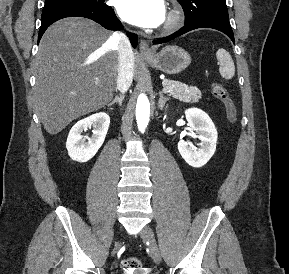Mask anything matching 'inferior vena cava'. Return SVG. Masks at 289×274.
Returning a JSON list of instances; mask_svg holds the SVG:
<instances>
[{"label":"inferior vena cava","mask_w":289,"mask_h":274,"mask_svg":"<svg viewBox=\"0 0 289 274\" xmlns=\"http://www.w3.org/2000/svg\"><path fill=\"white\" fill-rule=\"evenodd\" d=\"M112 42L117 46L119 68L117 76V89L125 93L132 84L134 73V55L129 39L122 33H114Z\"/></svg>","instance_id":"1"}]
</instances>
